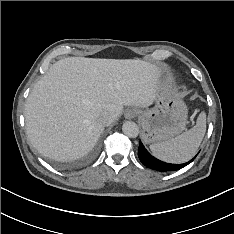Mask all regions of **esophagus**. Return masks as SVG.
<instances>
[{
    "label": "esophagus",
    "instance_id": "obj_1",
    "mask_svg": "<svg viewBox=\"0 0 234 234\" xmlns=\"http://www.w3.org/2000/svg\"><path fill=\"white\" fill-rule=\"evenodd\" d=\"M138 111L135 108H129L125 111L124 116L126 119H133L137 116Z\"/></svg>",
    "mask_w": 234,
    "mask_h": 234
}]
</instances>
